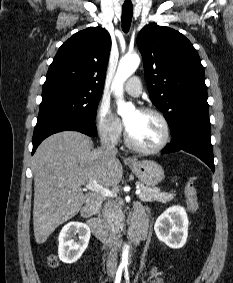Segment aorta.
<instances>
[{"mask_svg":"<svg viewBox=\"0 0 233 283\" xmlns=\"http://www.w3.org/2000/svg\"><path fill=\"white\" fill-rule=\"evenodd\" d=\"M140 64V57L137 54L126 55L120 59L117 72L112 83V89L117 98V112L124 116L134 109L132 103L125 102L123 99L124 82L136 71ZM121 263L128 264V246L125 245L122 252Z\"/></svg>","mask_w":233,"mask_h":283,"instance_id":"762f6f07","label":"aorta"}]
</instances>
